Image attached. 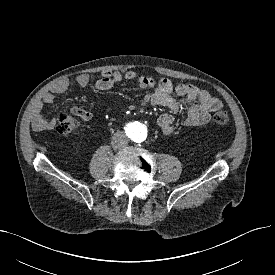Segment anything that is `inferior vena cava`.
I'll return each instance as SVG.
<instances>
[{
    "instance_id": "obj_1",
    "label": "inferior vena cava",
    "mask_w": 275,
    "mask_h": 275,
    "mask_svg": "<svg viewBox=\"0 0 275 275\" xmlns=\"http://www.w3.org/2000/svg\"><path fill=\"white\" fill-rule=\"evenodd\" d=\"M111 144L114 149L124 148L128 144V138L123 132H116L112 137Z\"/></svg>"
}]
</instances>
